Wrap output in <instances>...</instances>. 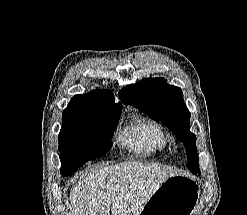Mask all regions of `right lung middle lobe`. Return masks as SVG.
I'll list each match as a JSON object with an SVG mask.
<instances>
[{
  "label": "right lung middle lobe",
  "mask_w": 247,
  "mask_h": 215,
  "mask_svg": "<svg viewBox=\"0 0 247 215\" xmlns=\"http://www.w3.org/2000/svg\"><path fill=\"white\" fill-rule=\"evenodd\" d=\"M58 136L61 174L70 175L85 162L110 150L119 112L91 109L71 99L62 115Z\"/></svg>",
  "instance_id": "dd1d6c3e"
}]
</instances>
